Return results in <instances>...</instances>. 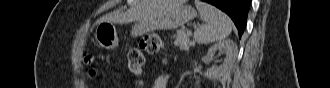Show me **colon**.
Listing matches in <instances>:
<instances>
[{
  "instance_id": "1",
  "label": "colon",
  "mask_w": 330,
  "mask_h": 88,
  "mask_svg": "<svg viewBox=\"0 0 330 88\" xmlns=\"http://www.w3.org/2000/svg\"><path fill=\"white\" fill-rule=\"evenodd\" d=\"M165 48L161 37L157 34H147L140 39L139 46L130 49L128 52V65L129 69L136 77H140L143 73L144 67V53L156 54ZM91 57L89 54H85L83 62L85 64L90 63ZM90 76L95 75L94 70H90Z\"/></svg>"
}]
</instances>
